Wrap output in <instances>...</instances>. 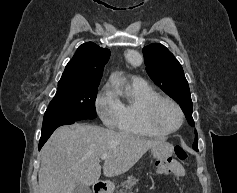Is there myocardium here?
<instances>
[{"mask_svg": "<svg viewBox=\"0 0 237 193\" xmlns=\"http://www.w3.org/2000/svg\"><path fill=\"white\" fill-rule=\"evenodd\" d=\"M163 102H167L173 105L179 113L180 122L178 126L174 129L164 128L160 124H158V122L156 121V118H155L156 110L159 107V105ZM184 119H185L184 112L182 108L180 107V105L175 100L167 96H157L153 98L146 104L143 111V120H144L145 125L151 128L152 130L162 133L164 135L177 132L182 127L184 123Z\"/></svg>", "mask_w": 237, "mask_h": 193, "instance_id": "1", "label": "myocardium"}]
</instances>
